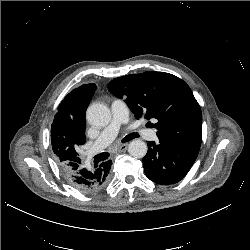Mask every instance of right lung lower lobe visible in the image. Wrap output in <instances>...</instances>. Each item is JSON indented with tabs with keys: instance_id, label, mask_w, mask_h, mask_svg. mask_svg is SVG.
Here are the masks:
<instances>
[{
	"instance_id": "obj_1",
	"label": "right lung lower lobe",
	"mask_w": 250,
	"mask_h": 250,
	"mask_svg": "<svg viewBox=\"0 0 250 250\" xmlns=\"http://www.w3.org/2000/svg\"><path fill=\"white\" fill-rule=\"evenodd\" d=\"M112 162H102L93 167H86L81 161L60 165L66 179L71 185L84 193L96 192L103 189L109 181V171Z\"/></svg>"
}]
</instances>
